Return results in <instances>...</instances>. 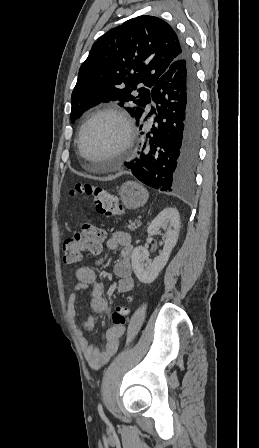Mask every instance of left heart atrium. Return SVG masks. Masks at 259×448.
I'll return each mask as SVG.
<instances>
[{"label": "left heart atrium", "instance_id": "39dd6f15", "mask_svg": "<svg viewBox=\"0 0 259 448\" xmlns=\"http://www.w3.org/2000/svg\"><path fill=\"white\" fill-rule=\"evenodd\" d=\"M153 154H154V151H153V150H149V151H147V158H148V159H151L152 156H153Z\"/></svg>", "mask_w": 259, "mask_h": 448}]
</instances>
